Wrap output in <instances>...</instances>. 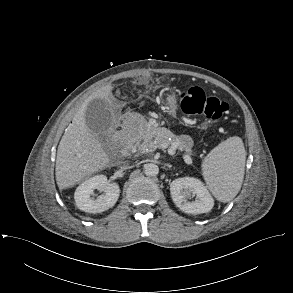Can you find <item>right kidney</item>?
<instances>
[{"instance_id": "1", "label": "right kidney", "mask_w": 293, "mask_h": 293, "mask_svg": "<svg viewBox=\"0 0 293 293\" xmlns=\"http://www.w3.org/2000/svg\"><path fill=\"white\" fill-rule=\"evenodd\" d=\"M95 189H102L103 195L97 199L91 198ZM120 195V188L117 183H108L105 175H96L80 184L75 193L76 206L87 213H101L113 207Z\"/></svg>"}]
</instances>
